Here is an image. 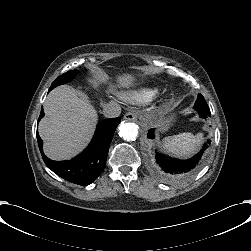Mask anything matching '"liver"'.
<instances>
[{
    "label": "liver",
    "instance_id": "6515ba94",
    "mask_svg": "<svg viewBox=\"0 0 251 251\" xmlns=\"http://www.w3.org/2000/svg\"><path fill=\"white\" fill-rule=\"evenodd\" d=\"M100 75L98 79H102ZM134 77L124 74L118 83L128 88ZM45 117L39 123V135L44 152L53 160H65L76 155L90 141L98 120L94 107L86 97H79L68 85L53 89L44 102Z\"/></svg>",
    "mask_w": 251,
    "mask_h": 251
}]
</instances>
